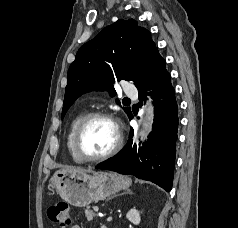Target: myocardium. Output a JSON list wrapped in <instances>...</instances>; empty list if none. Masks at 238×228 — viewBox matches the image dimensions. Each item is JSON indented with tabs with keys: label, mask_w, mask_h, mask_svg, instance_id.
<instances>
[{
	"label": "myocardium",
	"mask_w": 238,
	"mask_h": 228,
	"mask_svg": "<svg viewBox=\"0 0 238 228\" xmlns=\"http://www.w3.org/2000/svg\"><path fill=\"white\" fill-rule=\"evenodd\" d=\"M95 119H107L114 124L115 129H116V142H115L114 146L104 154H101L99 156H86L81 151V146H80L81 138H82V135H83L85 129L89 125V123ZM122 144H123V137H122L120 127H119L117 121L115 120V118L110 113H108L106 111H93V112L86 114L80 121V123L76 129L75 136H74V151H75L76 155L83 162H98V161L108 159V158L112 157L113 155H115L121 149Z\"/></svg>",
	"instance_id": "obj_1"
}]
</instances>
